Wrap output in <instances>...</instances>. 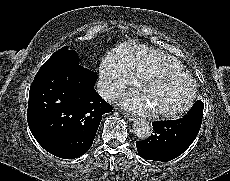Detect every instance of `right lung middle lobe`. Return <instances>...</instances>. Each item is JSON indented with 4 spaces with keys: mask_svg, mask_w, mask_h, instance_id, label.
Listing matches in <instances>:
<instances>
[{
    "mask_svg": "<svg viewBox=\"0 0 230 181\" xmlns=\"http://www.w3.org/2000/svg\"><path fill=\"white\" fill-rule=\"evenodd\" d=\"M79 58L75 51L67 46L56 51L39 69L40 72L59 69L64 66L78 64Z\"/></svg>",
    "mask_w": 230,
    "mask_h": 181,
    "instance_id": "dd1d6c3e",
    "label": "right lung middle lobe"
}]
</instances>
